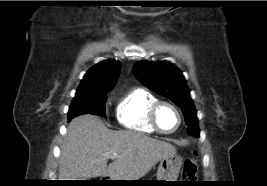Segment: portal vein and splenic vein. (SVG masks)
I'll return each instance as SVG.
<instances>
[{
  "label": "portal vein and splenic vein",
  "mask_w": 267,
  "mask_h": 186,
  "mask_svg": "<svg viewBox=\"0 0 267 186\" xmlns=\"http://www.w3.org/2000/svg\"><path fill=\"white\" fill-rule=\"evenodd\" d=\"M106 156H107L108 158H111V159H115V158H117V154H115V153H113V154L107 153Z\"/></svg>",
  "instance_id": "1"
}]
</instances>
